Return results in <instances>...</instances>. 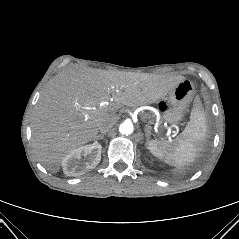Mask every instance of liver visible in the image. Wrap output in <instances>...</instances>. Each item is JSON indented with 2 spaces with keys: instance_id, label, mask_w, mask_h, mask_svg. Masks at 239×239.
I'll return each mask as SVG.
<instances>
[{
  "instance_id": "1",
  "label": "liver",
  "mask_w": 239,
  "mask_h": 239,
  "mask_svg": "<svg viewBox=\"0 0 239 239\" xmlns=\"http://www.w3.org/2000/svg\"><path fill=\"white\" fill-rule=\"evenodd\" d=\"M184 77L69 68L56 75L41 95L32 118V146L42 165L57 173L63 158L95 139L116 111L163 98Z\"/></svg>"
}]
</instances>
